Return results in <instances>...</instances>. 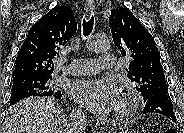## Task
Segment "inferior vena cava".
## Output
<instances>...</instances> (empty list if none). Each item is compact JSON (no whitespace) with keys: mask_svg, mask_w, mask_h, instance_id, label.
<instances>
[{"mask_svg":"<svg viewBox=\"0 0 184 133\" xmlns=\"http://www.w3.org/2000/svg\"><path fill=\"white\" fill-rule=\"evenodd\" d=\"M71 120L67 133H83L85 131L87 124L85 114L81 110H73Z\"/></svg>","mask_w":184,"mask_h":133,"instance_id":"inferior-vena-cava-1","label":"inferior vena cava"}]
</instances>
